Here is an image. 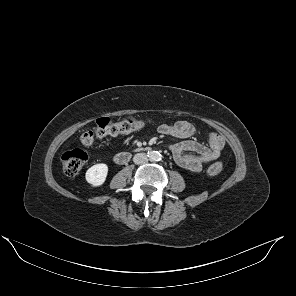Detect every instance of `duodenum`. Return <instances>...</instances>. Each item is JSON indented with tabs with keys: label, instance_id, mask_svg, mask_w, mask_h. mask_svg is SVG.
<instances>
[{
	"label": "duodenum",
	"instance_id": "410a0bca",
	"mask_svg": "<svg viewBox=\"0 0 296 296\" xmlns=\"http://www.w3.org/2000/svg\"><path fill=\"white\" fill-rule=\"evenodd\" d=\"M131 158V154L128 152H121L118 153L115 157H114V162L117 165H123L126 164Z\"/></svg>",
	"mask_w": 296,
	"mask_h": 296
}]
</instances>
